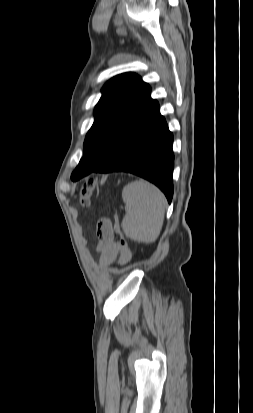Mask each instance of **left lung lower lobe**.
I'll return each instance as SVG.
<instances>
[{"mask_svg": "<svg viewBox=\"0 0 253 413\" xmlns=\"http://www.w3.org/2000/svg\"><path fill=\"white\" fill-rule=\"evenodd\" d=\"M112 157L94 172H129L157 185L170 203L173 196V134L153 100L137 117L123 121Z\"/></svg>", "mask_w": 253, "mask_h": 413, "instance_id": "obj_1", "label": "left lung lower lobe"}]
</instances>
